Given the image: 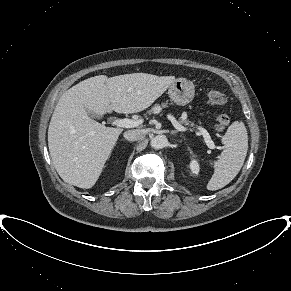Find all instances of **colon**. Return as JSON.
Listing matches in <instances>:
<instances>
[{
	"mask_svg": "<svg viewBox=\"0 0 291 291\" xmlns=\"http://www.w3.org/2000/svg\"><path fill=\"white\" fill-rule=\"evenodd\" d=\"M207 102L211 105H222L226 102V96L216 89H210L206 94ZM229 124L226 114L218 113L215 116V127L217 130L225 129Z\"/></svg>",
	"mask_w": 291,
	"mask_h": 291,
	"instance_id": "5ec220e1",
	"label": "colon"
}]
</instances>
